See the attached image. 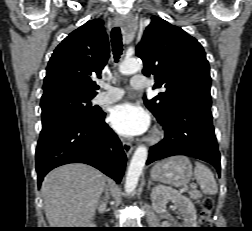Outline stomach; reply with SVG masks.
Wrapping results in <instances>:
<instances>
[{"label": "stomach", "instance_id": "obj_1", "mask_svg": "<svg viewBox=\"0 0 252 231\" xmlns=\"http://www.w3.org/2000/svg\"><path fill=\"white\" fill-rule=\"evenodd\" d=\"M192 174V165L186 156H174L158 162L150 172L153 180L176 187L188 184Z\"/></svg>", "mask_w": 252, "mask_h": 231}]
</instances>
